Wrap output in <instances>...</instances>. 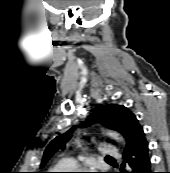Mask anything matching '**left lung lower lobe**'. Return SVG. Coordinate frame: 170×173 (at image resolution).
Returning <instances> with one entry per match:
<instances>
[{
	"mask_svg": "<svg viewBox=\"0 0 170 173\" xmlns=\"http://www.w3.org/2000/svg\"><path fill=\"white\" fill-rule=\"evenodd\" d=\"M124 162L119 173H152L148 142L144 141L124 151Z\"/></svg>",
	"mask_w": 170,
	"mask_h": 173,
	"instance_id": "1",
	"label": "left lung lower lobe"
}]
</instances>
